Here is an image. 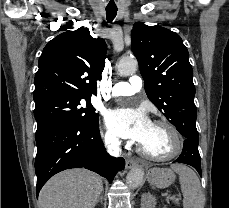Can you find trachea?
Returning a JSON list of instances; mask_svg holds the SVG:
<instances>
[{"label":"trachea","instance_id":"trachea-1","mask_svg":"<svg viewBox=\"0 0 229 208\" xmlns=\"http://www.w3.org/2000/svg\"><path fill=\"white\" fill-rule=\"evenodd\" d=\"M117 10V7H106V17L109 23H111L116 17Z\"/></svg>","mask_w":229,"mask_h":208}]
</instances>
